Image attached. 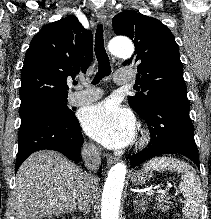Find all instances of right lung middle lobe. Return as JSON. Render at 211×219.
Listing matches in <instances>:
<instances>
[{
	"instance_id": "1",
	"label": "right lung middle lobe",
	"mask_w": 211,
	"mask_h": 219,
	"mask_svg": "<svg viewBox=\"0 0 211 219\" xmlns=\"http://www.w3.org/2000/svg\"><path fill=\"white\" fill-rule=\"evenodd\" d=\"M19 114L21 124L43 116H55L67 120L75 115L67 107V98H40L21 103Z\"/></svg>"
}]
</instances>
